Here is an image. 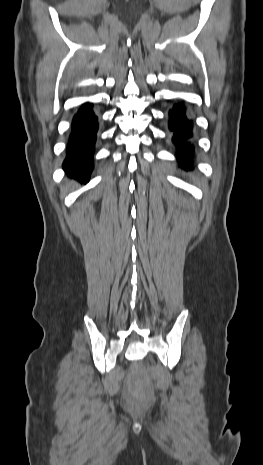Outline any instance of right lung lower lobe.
<instances>
[{
	"mask_svg": "<svg viewBox=\"0 0 263 465\" xmlns=\"http://www.w3.org/2000/svg\"><path fill=\"white\" fill-rule=\"evenodd\" d=\"M98 130V117L91 104H84L72 121V131L63 163L66 173L81 182H88L93 169V155Z\"/></svg>",
	"mask_w": 263,
	"mask_h": 465,
	"instance_id": "1",
	"label": "right lung lower lobe"
}]
</instances>
